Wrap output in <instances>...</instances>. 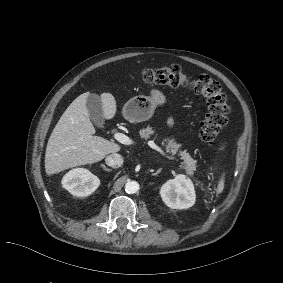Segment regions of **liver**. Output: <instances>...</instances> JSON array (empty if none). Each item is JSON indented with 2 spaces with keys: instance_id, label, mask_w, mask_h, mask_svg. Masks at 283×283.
Here are the masks:
<instances>
[{
  "instance_id": "obj_1",
  "label": "liver",
  "mask_w": 283,
  "mask_h": 283,
  "mask_svg": "<svg viewBox=\"0 0 283 283\" xmlns=\"http://www.w3.org/2000/svg\"><path fill=\"white\" fill-rule=\"evenodd\" d=\"M85 92L75 98L65 109L54 127L45 152V170L54 174L63 169L101 161L106 155L115 153L119 146L94 135L95 129L86 109ZM106 118L115 113V101L110 94L102 95Z\"/></svg>"
}]
</instances>
